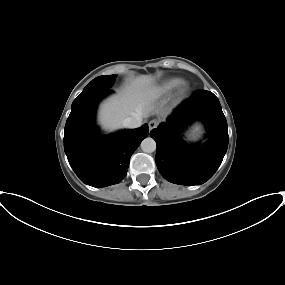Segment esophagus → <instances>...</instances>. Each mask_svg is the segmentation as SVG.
Returning <instances> with one entry per match:
<instances>
[{
	"label": "esophagus",
	"mask_w": 285,
	"mask_h": 285,
	"mask_svg": "<svg viewBox=\"0 0 285 285\" xmlns=\"http://www.w3.org/2000/svg\"><path fill=\"white\" fill-rule=\"evenodd\" d=\"M159 122L157 120H151L148 124L149 129L152 130L158 126Z\"/></svg>",
	"instance_id": "1"
}]
</instances>
